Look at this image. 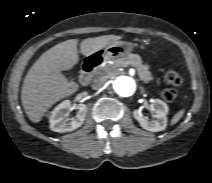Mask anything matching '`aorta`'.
Returning <instances> with one entry per match:
<instances>
[{
    "instance_id": "obj_1",
    "label": "aorta",
    "mask_w": 212,
    "mask_h": 183,
    "mask_svg": "<svg viewBox=\"0 0 212 183\" xmlns=\"http://www.w3.org/2000/svg\"><path fill=\"white\" fill-rule=\"evenodd\" d=\"M115 92L121 97L132 96L136 90V82L133 77L119 76L113 83Z\"/></svg>"
}]
</instances>
